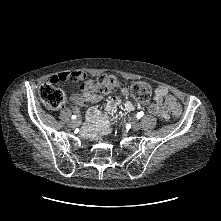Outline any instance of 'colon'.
<instances>
[{"label":"colon","instance_id":"1","mask_svg":"<svg viewBox=\"0 0 221 221\" xmlns=\"http://www.w3.org/2000/svg\"><path fill=\"white\" fill-rule=\"evenodd\" d=\"M119 85V81L115 76H104L100 79L98 85L95 84V90L100 93H110ZM86 88V83L83 89ZM133 98L140 102L147 101L151 96V87L145 82H135L130 87ZM39 95L44 105L52 110H57L65 104H73L74 95L67 96L58 85H51L49 82L44 83L39 89ZM166 104L174 117H179L181 108L179 103L173 97L166 99Z\"/></svg>","mask_w":221,"mask_h":221}]
</instances>
